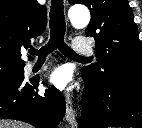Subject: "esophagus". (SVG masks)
Here are the masks:
<instances>
[{
  "label": "esophagus",
  "mask_w": 142,
  "mask_h": 128,
  "mask_svg": "<svg viewBox=\"0 0 142 128\" xmlns=\"http://www.w3.org/2000/svg\"><path fill=\"white\" fill-rule=\"evenodd\" d=\"M65 118L70 125H72V126L75 125L76 115H75V111L73 109V103H72V100H71L69 94L66 95V115H65Z\"/></svg>",
  "instance_id": "1"
}]
</instances>
